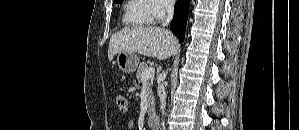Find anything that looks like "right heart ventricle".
Returning a JSON list of instances; mask_svg holds the SVG:
<instances>
[{
    "label": "right heart ventricle",
    "mask_w": 299,
    "mask_h": 130,
    "mask_svg": "<svg viewBox=\"0 0 299 130\" xmlns=\"http://www.w3.org/2000/svg\"><path fill=\"white\" fill-rule=\"evenodd\" d=\"M151 4L148 0H130L127 2L123 21L127 25L146 26L153 23Z\"/></svg>",
    "instance_id": "e07e8e85"
}]
</instances>
